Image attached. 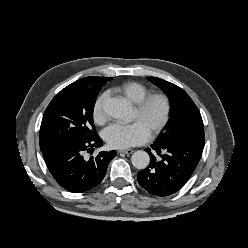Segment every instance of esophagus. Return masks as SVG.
Instances as JSON below:
<instances>
[{"mask_svg": "<svg viewBox=\"0 0 248 248\" xmlns=\"http://www.w3.org/2000/svg\"><path fill=\"white\" fill-rule=\"evenodd\" d=\"M118 153H123V154H132L133 153V150L132 149H121L118 151Z\"/></svg>", "mask_w": 248, "mask_h": 248, "instance_id": "1", "label": "esophagus"}]
</instances>
